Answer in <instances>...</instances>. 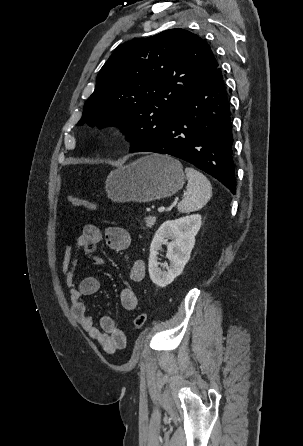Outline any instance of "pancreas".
Wrapping results in <instances>:
<instances>
[{"label":"pancreas","instance_id":"1","mask_svg":"<svg viewBox=\"0 0 303 446\" xmlns=\"http://www.w3.org/2000/svg\"><path fill=\"white\" fill-rule=\"evenodd\" d=\"M156 222V217L148 216L145 218V224L147 228L152 227Z\"/></svg>","mask_w":303,"mask_h":446}]
</instances>
